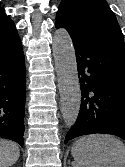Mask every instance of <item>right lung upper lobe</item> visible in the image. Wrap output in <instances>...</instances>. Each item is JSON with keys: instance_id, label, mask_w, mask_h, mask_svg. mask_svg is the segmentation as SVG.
I'll use <instances>...</instances> for the list:
<instances>
[{"instance_id": "cb5924a9", "label": "right lung upper lobe", "mask_w": 125, "mask_h": 167, "mask_svg": "<svg viewBox=\"0 0 125 167\" xmlns=\"http://www.w3.org/2000/svg\"><path fill=\"white\" fill-rule=\"evenodd\" d=\"M15 29V25L9 16H6L4 8L0 5V32Z\"/></svg>"}]
</instances>
